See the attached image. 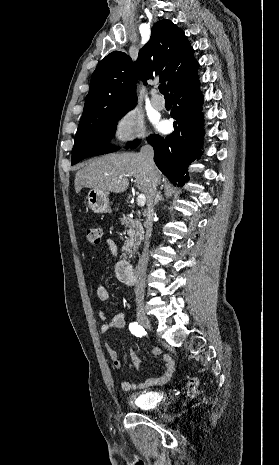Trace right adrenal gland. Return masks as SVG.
Segmentation results:
<instances>
[{
  "mask_svg": "<svg viewBox=\"0 0 279 465\" xmlns=\"http://www.w3.org/2000/svg\"><path fill=\"white\" fill-rule=\"evenodd\" d=\"M160 200H163V196L161 195V191L157 192V194L155 196L154 205H157Z\"/></svg>",
  "mask_w": 279,
  "mask_h": 465,
  "instance_id": "2a0ac1e0",
  "label": "right adrenal gland"
}]
</instances>
